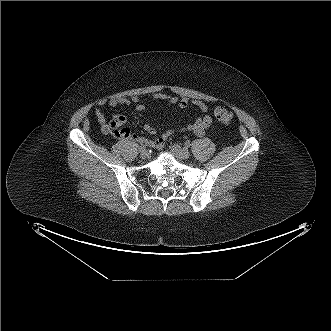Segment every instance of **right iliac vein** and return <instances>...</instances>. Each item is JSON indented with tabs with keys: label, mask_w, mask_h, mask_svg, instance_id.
<instances>
[{
	"label": "right iliac vein",
	"mask_w": 331,
	"mask_h": 331,
	"mask_svg": "<svg viewBox=\"0 0 331 331\" xmlns=\"http://www.w3.org/2000/svg\"><path fill=\"white\" fill-rule=\"evenodd\" d=\"M140 156H141V158H143V159L148 158V157H149V151H148L147 149H143V150H141V152H140Z\"/></svg>",
	"instance_id": "obj_1"
}]
</instances>
